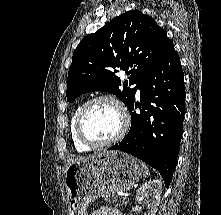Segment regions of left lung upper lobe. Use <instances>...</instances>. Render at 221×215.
Here are the masks:
<instances>
[{
    "label": "left lung upper lobe",
    "mask_w": 221,
    "mask_h": 215,
    "mask_svg": "<svg viewBox=\"0 0 221 215\" xmlns=\"http://www.w3.org/2000/svg\"><path fill=\"white\" fill-rule=\"evenodd\" d=\"M171 41L157 23L138 10L126 12L84 37L73 52L67 101L91 91L116 95L127 108L141 81L156 67ZM125 70L123 83L116 75ZM138 84L134 88L127 87Z\"/></svg>",
    "instance_id": "obj_1"
}]
</instances>
